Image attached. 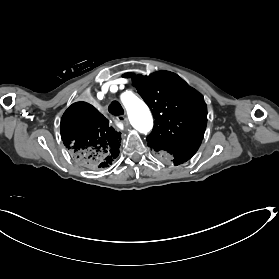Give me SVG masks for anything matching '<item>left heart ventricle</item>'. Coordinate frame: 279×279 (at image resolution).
Returning a JSON list of instances; mask_svg holds the SVG:
<instances>
[{"instance_id":"obj_1","label":"left heart ventricle","mask_w":279,"mask_h":279,"mask_svg":"<svg viewBox=\"0 0 279 279\" xmlns=\"http://www.w3.org/2000/svg\"><path fill=\"white\" fill-rule=\"evenodd\" d=\"M103 75H107V70H105V71L103 72Z\"/></svg>"}]
</instances>
